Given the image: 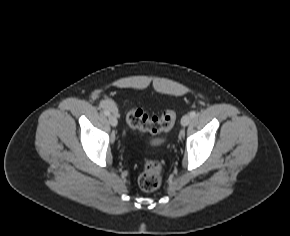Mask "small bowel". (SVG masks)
<instances>
[{"label": "small bowel", "mask_w": 290, "mask_h": 236, "mask_svg": "<svg viewBox=\"0 0 290 236\" xmlns=\"http://www.w3.org/2000/svg\"><path fill=\"white\" fill-rule=\"evenodd\" d=\"M101 106L103 108H106V109L112 111V112H116L117 111L115 105L110 100H104V101H102Z\"/></svg>", "instance_id": "small-bowel-1"}]
</instances>
